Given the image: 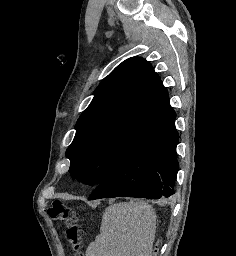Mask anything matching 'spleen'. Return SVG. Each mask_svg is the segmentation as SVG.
Returning a JSON list of instances; mask_svg holds the SVG:
<instances>
[{
	"label": "spleen",
	"mask_w": 236,
	"mask_h": 256,
	"mask_svg": "<svg viewBox=\"0 0 236 256\" xmlns=\"http://www.w3.org/2000/svg\"><path fill=\"white\" fill-rule=\"evenodd\" d=\"M156 216L152 206L131 200L104 210L100 234L85 256H152Z\"/></svg>",
	"instance_id": "spleen-1"
}]
</instances>
